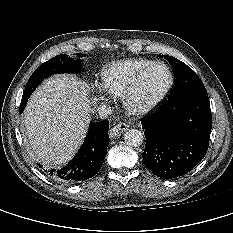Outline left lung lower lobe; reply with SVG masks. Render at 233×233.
Listing matches in <instances>:
<instances>
[{"mask_svg":"<svg viewBox=\"0 0 233 233\" xmlns=\"http://www.w3.org/2000/svg\"><path fill=\"white\" fill-rule=\"evenodd\" d=\"M146 137L145 166L163 179L183 176L205 156L212 127L207 93H186L168 100L141 121Z\"/></svg>","mask_w":233,"mask_h":233,"instance_id":"left-lung-lower-lobe-1","label":"left lung lower lobe"}]
</instances>
